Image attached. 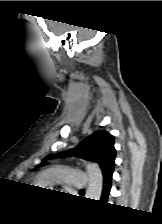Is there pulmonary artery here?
<instances>
[{"instance_id":"e3ab8cb5","label":"pulmonary artery","mask_w":162,"mask_h":224,"mask_svg":"<svg viewBox=\"0 0 162 224\" xmlns=\"http://www.w3.org/2000/svg\"><path fill=\"white\" fill-rule=\"evenodd\" d=\"M42 183H62L76 189L86 187L88 183V175L73 169H63L45 173L41 176Z\"/></svg>"}]
</instances>
